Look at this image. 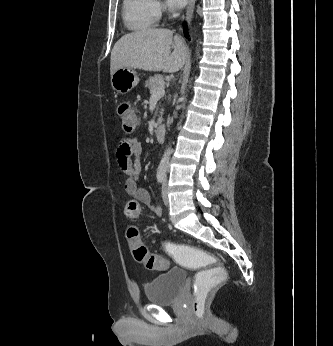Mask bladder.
Wrapping results in <instances>:
<instances>
[{
    "label": "bladder",
    "mask_w": 333,
    "mask_h": 346,
    "mask_svg": "<svg viewBox=\"0 0 333 346\" xmlns=\"http://www.w3.org/2000/svg\"><path fill=\"white\" fill-rule=\"evenodd\" d=\"M187 280L184 269L174 268L155 276L145 285L147 301L155 305H165L177 300Z\"/></svg>",
    "instance_id": "1"
}]
</instances>
